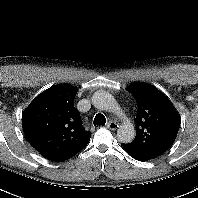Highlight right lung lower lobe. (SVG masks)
Listing matches in <instances>:
<instances>
[{"label":"right lung lower lobe","instance_id":"obj_1","mask_svg":"<svg viewBox=\"0 0 198 198\" xmlns=\"http://www.w3.org/2000/svg\"><path fill=\"white\" fill-rule=\"evenodd\" d=\"M88 144V143H87ZM87 144L83 146H79L70 150L62 151V152H50V153H41V155L54 162H62L70 159L74 155H76L79 151H81Z\"/></svg>","mask_w":198,"mask_h":198}]
</instances>
